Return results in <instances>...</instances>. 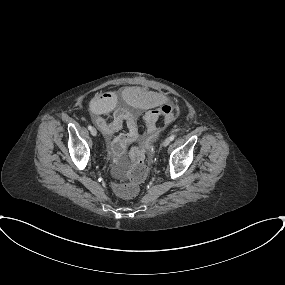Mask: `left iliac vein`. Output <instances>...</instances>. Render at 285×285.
<instances>
[{"label": "left iliac vein", "mask_w": 285, "mask_h": 285, "mask_svg": "<svg viewBox=\"0 0 285 285\" xmlns=\"http://www.w3.org/2000/svg\"><path fill=\"white\" fill-rule=\"evenodd\" d=\"M170 142H171V140H170V138L168 137V138H166V139L163 141L162 146H163V147H167V146L170 144Z\"/></svg>", "instance_id": "obj_1"}]
</instances>
